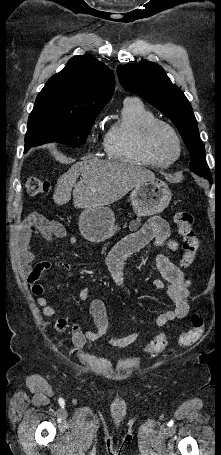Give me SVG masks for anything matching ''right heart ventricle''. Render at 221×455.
I'll return each mask as SVG.
<instances>
[{"label": "right heart ventricle", "instance_id": "e07e8e85", "mask_svg": "<svg viewBox=\"0 0 221 455\" xmlns=\"http://www.w3.org/2000/svg\"><path fill=\"white\" fill-rule=\"evenodd\" d=\"M155 119L154 114L136 98H126L123 102L120 117L107 129L103 148L109 159L152 166L163 167L166 162L150 153L143 143V129Z\"/></svg>", "mask_w": 221, "mask_h": 455}]
</instances>
